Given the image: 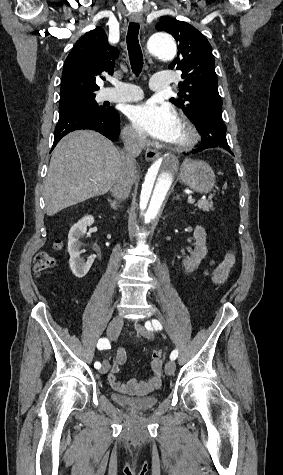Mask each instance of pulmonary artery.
Returning a JSON list of instances; mask_svg holds the SVG:
<instances>
[{
  "instance_id": "obj_1",
  "label": "pulmonary artery",
  "mask_w": 283,
  "mask_h": 475,
  "mask_svg": "<svg viewBox=\"0 0 283 475\" xmlns=\"http://www.w3.org/2000/svg\"><path fill=\"white\" fill-rule=\"evenodd\" d=\"M114 87H104L102 93L104 96H117L111 98V102H135L146 95L141 87L132 83L121 82V84H111ZM151 89H166V80H151Z\"/></svg>"
}]
</instances>
